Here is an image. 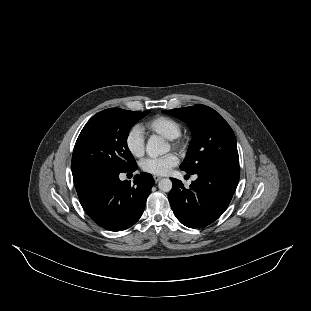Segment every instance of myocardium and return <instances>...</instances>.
<instances>
[{
	"instance_id": "obj_1",
	"label": "myocardium",
	"mask_w": 311,
	"mask_h": 311,
	"mask_svg": "<svg viewBox=\"0 0 311 311\" xmlns=\"http://www.w3.org/2000/svg\"><path fill=\"white\" fill-rule=\"evenodd\" d=\"M169 143L173 148L179 150L180 152L182 153L187 152L188 144L180 137L175 138V139H170Z\"/></svg>"
}]
</instances>
